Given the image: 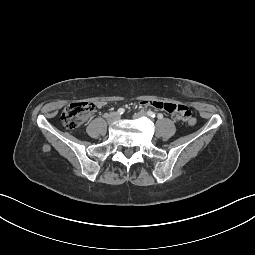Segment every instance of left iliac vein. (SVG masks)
<instances>
[{"mask_svg": "<svg viewBox=\"0 0 255 255\" xmlns=\"http://www.w3.org/2000/svg\"><path fill=\"white\" fill-rule=\"evenodd\" d=\"M144 116H148V114L146 112H144V111H140V112L135 113L133 115L134 118H140V117H144Z\"/></svg>", "mask_w": 255, "mask_h": 255, "instance_id": "obj_1", "label": "left iliac vein"}]
</instances>
